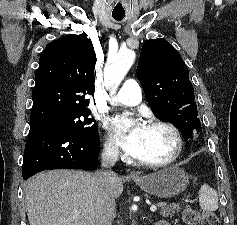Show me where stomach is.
<instances>
[{"instance_id": "stomach-1", "label": "stomach", "mask_w": 237, "mask_h": 225, "mask_svg": "<svg viewBox=\"0 0 237 225\" xmlns=\"http://www.w3.org/2000/svg\"><path fill=\"white\" fill-rule=\"evenodd\" d=\"M133 180L146 193L169 198L179 195L187 188L189 176L183 169L172 166Z\"/></svg>"}]
</instances>
